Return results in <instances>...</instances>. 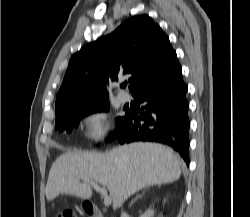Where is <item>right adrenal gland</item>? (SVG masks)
Segmentation results:
<instances>
[{"instance_id": "2a0ac1e0", "label": "right adrenal gland", "mask_w": 250, "mask_h": 217, "mask_svg": "<svg viewBox=\"0 0 250 217\" xmlns=\"http://www.w3.org/2000/svg\"><path fill=\"white\" fill-rule=\"evenodd\" d=\"M142 195H138V196H136V198L134 199V200H132L131 201V203H130V207L132 206V204L138 199V198H140Z\"/></svg>"}]
</instances>
